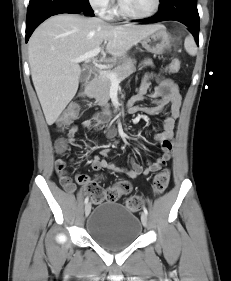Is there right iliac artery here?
<instances>
[{
	"label": "right iliac artery",
	"instance_id": "right-iliac-artery-1",
	"mask_svg": "<svg viewBox=\"0 0 231 281\" xmlns=\"http://www.w3.org/2000/svg\"><path fill=\"white\" fill-rule=\"evenodd\" d=\"M89 198L86 197L84 203L87 204L88 203Z\"/></svg>",
	"mask_w": 231,
	"mask_h": 281
}]
</instances>
